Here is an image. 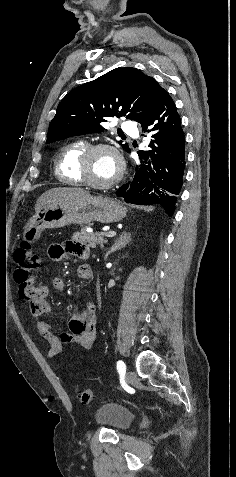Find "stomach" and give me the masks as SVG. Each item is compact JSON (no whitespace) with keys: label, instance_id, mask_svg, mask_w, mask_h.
<instances>
[{"label":"stomach","instance_id":"obj_1","mask_svg":"<svg viewBox=\"0 0 236 477\" xmlns=\"http://www.w3.org/2000/svg\"><path fill=\"white\" fill-rule=\"evenodd\" d=\"M126 212V208L117 200L87 194L43 207L24 225L23 239L35 243L46 228L85 225L93 221L102 224L119 222Z\"/></svg>","mask_w":236,"mask_h":477}]
</instances>
